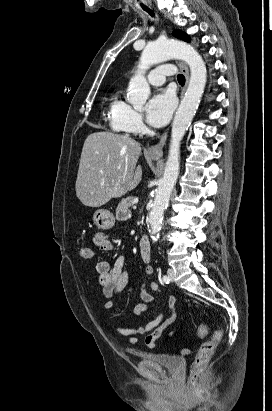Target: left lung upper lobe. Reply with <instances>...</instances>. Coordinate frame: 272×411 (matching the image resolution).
<instances>
[{
    "instance_id": "obj_1",
    "label": "left lung upper lobe",
    "mask_w": 272,
    "mask_h": 411,
    "mask_svg": "<svg viewBox=\"0 0 272 411\" xmlns=\"http://www.w3.org/2000/svg\"><path fill=\"white\" fill-rule=\"evenodd\" d=\"M173 35H174L175 37L179 38V39L184 40V41H187V42L190 41V37H189L187 34H185V33H183L182 31H180V30H174Z\"/></svg>"
}]
</instances>
